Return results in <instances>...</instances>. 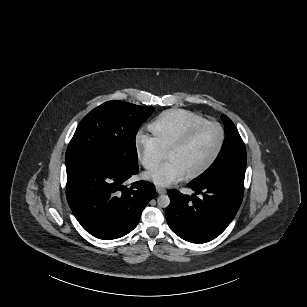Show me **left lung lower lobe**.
Wrapping results in <instances>:
<instances>
[{
  "mask_svg": "<svg viewBox=\"0 0 307 307\" xmlns=\"http://www.w3.org/2000/svg\"><path fill=\"white\" fill-rule=\"evenodd\" d=\"M192 196L169 190L170 205L165 215L171 230L192 243H205L219 236L235 217L244 186L229 180L191 185ZM202 194L197 197L196 195Z\"/></svg>",
  "mask_w": 307,
  "mask_h": 307,
  "instance_id": "obj_1",
  "label": "left lung lower lobe"
}]
</instances>
